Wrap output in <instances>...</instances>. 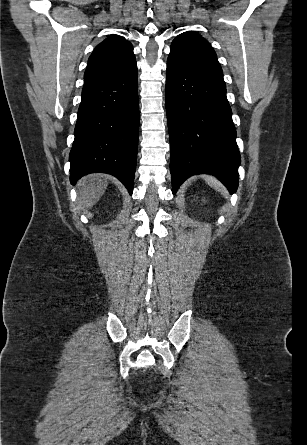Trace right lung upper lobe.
I'll return each mask as SVG.
<instances>
[{
	"instance_id": "cb5924a9",
	"label": "right lung upper lobe",
	"mask_w": 307,
	"mask_h": 445,
	"mask_svg": "<svg viewBox=\"0 0 307 445\" xmlns=\"http://www.w3.org/2000/svg\"><path fill=\"white\" fill-rule=\"evenodd\" d=\"M135 64L132 44L120 36H111L97 45L89 57L85 83L118 75Z\"/></svg>"
}]
</instances>
